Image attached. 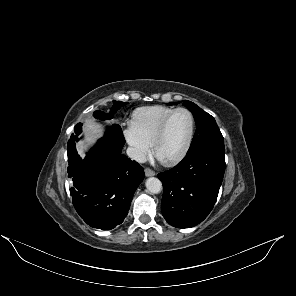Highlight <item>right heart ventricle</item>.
<instances>
[{"label":"right heart ventricle","mask_w":296,"mask_h":296,"mask_svg":"<svg viewBox=\"0 0 296 296\" xmlns=\"http://www.w3.org/2000/svg\"><path fill=\"white\" fill-rule=\"evenodd\" d=\"M173 110L162 105L139 108L132 115L130 127L140 139L151 145L160 124Z\"/></svg>","instance_id":"right-heart-ventricle-1"}]
</instances>
